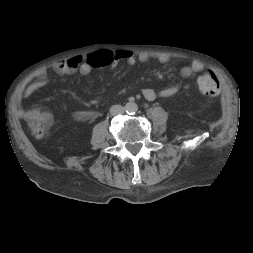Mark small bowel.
Instances as JSON below:
<instances>
[{
  "label": "small bowel",
  "instance_id": "obj_1",
  "mask_svg": "<svg viewBox=\"0 0 253 253\" xmlns=\"http://www.w3.org/2000/svg\"><path fill=\"white\" fill-rule=\"evenodd\" d=\"M150 59V56L146 53L140 54L136 57L130 52L123 51H100L88 55L85 59L73 58L66 61L57 63L54 67L55 72L60 76H69L74 73H80L81 75H89L91 72L97 69H101L106 66L115 65L120 61H125L130 66H135L138 62L146 63ZM158 61L162 64H166L169 61L167 56H159ZM203 69V65L199 61H192L189 65L180 69L179 75L183 78H193L198 72ZM46 70L41 69L36 73V76L40 79L46 77ZM37 87V84L32 85L27 93H30ZM180 90L179 85H173L166 87L159 91L152 88L142 89V94L148 101H153L157 97H171L177 94ZM24 118L28 125L35 129L38 126L48 129L53 124V116L50 112L44 111L39 108H32L24 112ZM99 116L96 111L78 110L72 113V117L76 121L86 122L92 121Z\"/></svg>",
  "mask_w": 253,
  "mask_h": 253
}]
</instances>
